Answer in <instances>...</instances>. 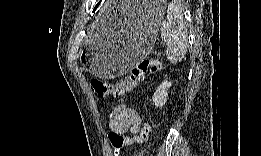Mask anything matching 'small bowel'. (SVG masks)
Here are the masks:
<instances>
[{
    "label": "small bowel",
    "instance_id": "obj_1",
    "mask_svg": "<svg viewBox=\"0 0 261 156\" xmlns=\"http://www.w3.org/2000/svg\"><path fill=\"white\" fill-rule=\"evenodd\" d=\"M141 125L138 113L126 105H117L109 115V127L111 132L124 134L130 131L137 133Z\"/></svg>",
    "mask_w": 261,
    "mask_h": 156
}]
</instances>
